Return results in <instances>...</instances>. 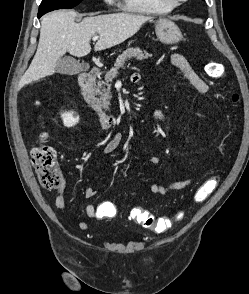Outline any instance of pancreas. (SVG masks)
<instances>
[{
  "mask_svg": "<svg viewBox=\"0 0 249 294\" xmlns=\"http://www.w3.org/2000/svg\"><path fill=\"white\" fill-rule=\"evenodd\" d=\"M151 55L140 48H129L125 50L121 55L118 56L114 67L107 71L104 76V80L98 81L97 83V93L100 95L101 106L105 110H109V99H111V82L117 77L119 69L124 66V64L136 58V60L148 59Z\"/></svg>",
  "mask_w": 249,
  "mask_h": 294,
  "instance_id": "obj_1",
  "label": "pancreas"
}]
</instances>
